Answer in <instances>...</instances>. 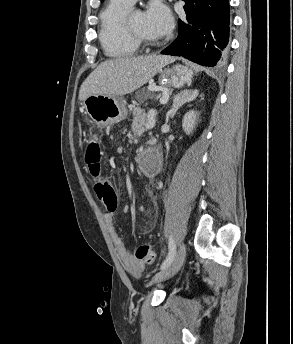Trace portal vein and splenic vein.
<instances>
[{
	"label": "portal vein and splenic vein",
	"mask_w": 293,
	"mask_h": 344,
	"mask_svg": "<svg viewBox=\"0 0 293 344\" xmlns=\"http://www.w3.org/2000/svg\"><path fill=\"white\" fill-rule=\"evenodd\" d=\"M163 100H168V95H166V96H163Z\"/></svg>",
	"instance_id": "1"
}]
</instances>
